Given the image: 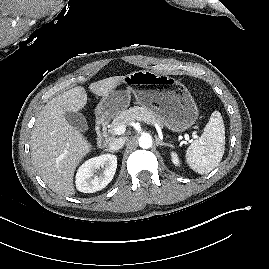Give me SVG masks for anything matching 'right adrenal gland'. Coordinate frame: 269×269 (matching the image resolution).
I'll return each instance as SVG.
<instances>
[{
  "label": "right adrenal gland",
  "mask_w": 269,
  "mask_h": 269,
  "mask_svg": "<svg viewBox=\"0 0 269 269\" xmlns=\"http://www.w3.org/2000/svg\"><path fill=\"white\" fill-rule=\"evenodd\" d=\"M108 152H111V153H114L115 151L113 150H110V149H107Z\"/></svg>",
  "instance_id": "1"
}]
</instances>
